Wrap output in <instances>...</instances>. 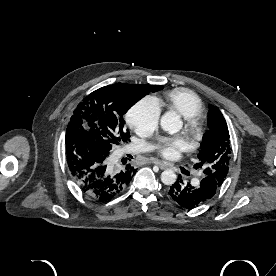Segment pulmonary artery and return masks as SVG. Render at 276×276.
<instances>
[{"mask_svg":"<svg viewBox=\"0 0 276 276\" xmlns=\"http://www.w3.org/2000/svg\"><path fill=\"white\" fill-rule=\"evenodd\" d=\"M150 149L149 146L144 145V144H136V145H131L128 150L131 152H145Z\"/></svg>","mask_w":276,"mask_h":276,"instance_id":"obj_1","label":"pulmonary artery"}]
</instances>
